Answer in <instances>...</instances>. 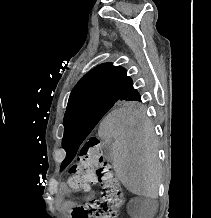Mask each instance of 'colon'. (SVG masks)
<instances>
[{
  "label": "colon",
  "mask_w": 211,
  "mask_h": 218,
  "mask_svg": "<svg viewBox=\"0 0 211 218\" xmlns=\"http://www.w3.org/2000/svg\"><path fill=\"white\" fill-rule=\"evenodd\" d=\"M99 183V197L72 210L73 218H116L124 203L121 184L111 164L105 159L99 139L84 141L76 163L69 170L67 185L74 192L88 191Z\"/></svg>",
  "instance_id": "5ec220e1"
}]
</instances>
